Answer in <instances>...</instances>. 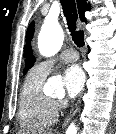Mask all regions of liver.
<instances>
[{
  "mask_svg": "<svg viewBox=\"0 0 116 134\" xmlns=\"http://www.w3.org/2000/svg\"><path fill=\"white\" fill-rule=\"evenodd\" d=\"M19 134H22V133H19ZM23 134H24V133H23ZM47 134H52V133H51V131H50V132H48Z\"/></svg>",
  "mask_w": 116,
  "mask_h": 134,
  "instance_id": "liver-1",
  "label": "liver"
}]
</instances>
